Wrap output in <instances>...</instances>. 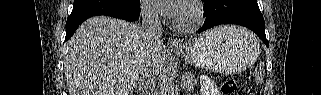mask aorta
<instances>
[{
  "mask_svg": "<svg viewBox=\"0 0 321 95\" xmlns=\"http://www.w3.org/2000/svg\"><path fill=\"white\" fill-rule=\"evenodd\" d=\"M173 73L169 70L163 79V82L160 87V95H174V82H173Z\"/></svg>",
  "mask_w": 321,
  "mask_h": 95,
  "instance_id": "762f6f07",
  "label": "aorta"
}]
</instances>
